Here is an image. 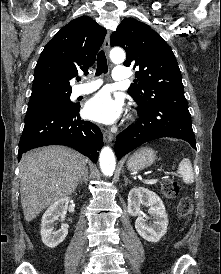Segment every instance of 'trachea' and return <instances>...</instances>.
<instances>
[{
    "label": "trachea",
    "instance_id": "1",
    "mask_svg": "<svg viewBox=\"0 0 221 274\" xmlns=\"http://www.w3.org/2000/svg\"><path fill=\"white\" fill-rule=\"evenodd\" d=\"M108 72V65H107V59H106V56H105V53L103 50H101L99 53H98V56H97V70H96V76H99L101 74H105ZM78 81H80L81 79L78 78L77 79Z\"/></svg>",
    "mask_w": 221,
    "mask_h": 274
}]
</instances>
